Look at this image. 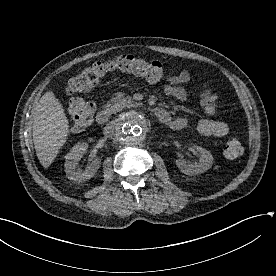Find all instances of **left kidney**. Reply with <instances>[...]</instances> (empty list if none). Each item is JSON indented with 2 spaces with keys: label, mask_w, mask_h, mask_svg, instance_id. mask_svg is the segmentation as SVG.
Returning <instances> with one entry per match:
<instances>
[{
  "label": "left kidney",
  "mask_w": 276,
  "mask_h": 276,
  "mask_svg": "<svg viewBox=\"0 0 276 276\" xmlns=\"http://www.w3.org/2000/svg\"><path fill=\"white\" fill-rule=\"evenodd\" d=\"M192 148L199 153V162L187 163L181 159L176 160V166L179 168V170L182 173L191 176L204 173L210 169L213 164V156L209 151L199 146H193Z\"/></svg>",
  "instance_id": "5707ae66"
}]
</instances>
